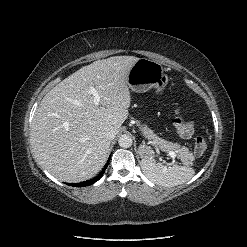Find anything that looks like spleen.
<instances>
[{"label": "spleen", "instance_id": "1", "mask_svg": "<svg viewBox=\"0 0 247 247\" xmlns=\"http://www.w3.org/2000/svg\"><path fill=\"white\" fill-rule=\"evenodd\" d=\"M144 174L157 185L173 187L189 181L195 174V170L188 166L174 165L165 167L161 163H155L153 159L142 161Z\"/></svg>", "mask_w": 247, "mask_h": 247}]
</instances>
